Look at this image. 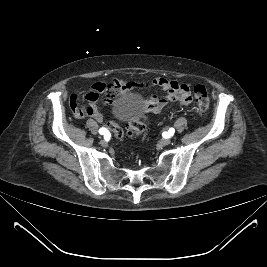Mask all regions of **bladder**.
I'll use <instances>...</instances> for the list:
<instances>
[{"mask_svg":"<svg viewBox=\"0 0 267 267\" xmlns=\"http://www.w3.org/2000/svg\"><path fill=\"white\" fill-rule=\"evenodd\" d=\"M112 113L119 122H131L142 118L144 114L141 104L128 96L121 97L114 103Z\"/></svg>","mask_w":267,"mask_h":267,"instance_id":"bladder-1","label":"bladder"}]
</instances>
